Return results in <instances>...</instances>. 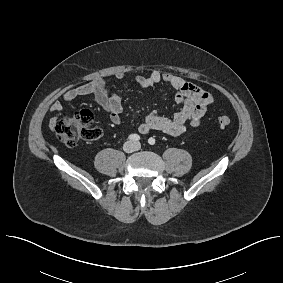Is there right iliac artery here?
Here are the masks:
<instances>
[{"label": "right iliac artery", "mask_w": 283, "mask_h": 283, "mask_svg": "<svg viewBox=\"0 0 283 283\" xmlns=\"http://www.w3.org/2000/svg\"><path fill=\"white\" fill-rule=\"evenodd\" d=\"M128 138H129L130 140H132V141H138V140H140V136L137 135V134H131V135H129Z\"/></svg>", "instance_id": "obj_1"}]
</instances>
